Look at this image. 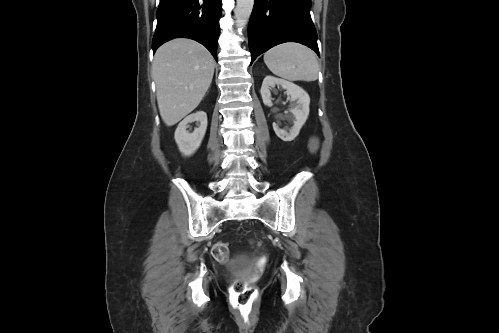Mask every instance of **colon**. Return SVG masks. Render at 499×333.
<instances>
[{
	"mask_svg": "<svg viewBox=\"0 0 499 333\" xmlns=\"http://www.w3.org/2000/svg\"><path fill=\"white\" fill-rule=\"evenodd\" d=\"M318 146V139L315 137L312 138L310 141V150L312 152H316L318 150ZM211 252L214 259L219 262H226L229 258L228 245L224 241L216 242L213 245ZM260 272L261 269L258 268L255 275L258 276ZM255 300L256 296L254 294V290L246 284L244 279H238L234 282L230 294V302L234 309L239 311V313L243 316H249Z\"/></svg>",
	"mask_w": 499,
	"mask_h": 333,
	"instance_id": "obj_1",
	"label": "colon"
}]
</instances>
